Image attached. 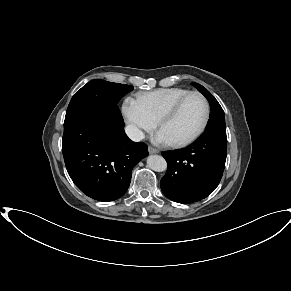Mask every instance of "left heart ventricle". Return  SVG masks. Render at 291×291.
Wrapping results in <instances>:
<instances>
[{
    "mask_svg": "<svg viewBox=\"0 0 291 291\" xmlns=\"http://www.w3.org/2000/svg\"><path fill=\"white\" fill-rule=\"evenodd\" d=\"M205 115V104L198 96H191L178 114L163 125L160 131L170 142L180 141L194 134Z\"/></svg>",
    "mask_w": 291,
    "mask_h": 291,
    "instance_id": "left-heart-ventricle-1",
    "label": "left heart ventricle"
}]
</instances>
